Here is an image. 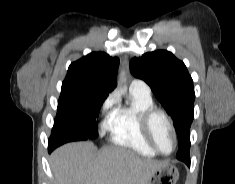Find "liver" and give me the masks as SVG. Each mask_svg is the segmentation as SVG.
I'll use <instances>...</instances> for the list:
<instances>
[{"instance_id": "6515ba94", "label": "liver", "mask_w": 235, "mask_h": 184, "mask_svg": "<svg viewBox=\"0 0 235 184\" xmlns=\"http://www.w3.org/2000/svg\"><path fill=\"white\" fill-rule=\"evenodd\" d=\"M56 184H147L166 162L140 158L127 148L97 150L92 142L65 144L51 154Z\"/></svg>"}]
</instances>
